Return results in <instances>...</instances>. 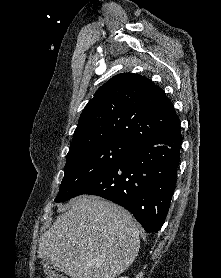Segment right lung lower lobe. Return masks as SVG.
Segmentation results:
<instances>
[{
    "mask_svg": "<svg viewBox=\"0 0 221 278\" xmlns=\"http://www.w3.org/2000/svg\"><path fill=\"white\" fill-rule=\"evenodd\" d=\"M182 135L180 125L156 136L135 140L124 156L75 196L97 195L133 213L147 233L165 222L176 185Z\"/></svg>",
    "mask_w": 221,
    "mask_h": 278,
    "instance_id": "1",
    "label": "right lung lower lobe"
}]
</instances>
